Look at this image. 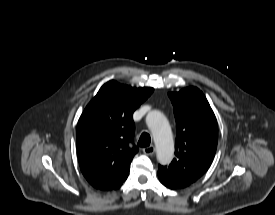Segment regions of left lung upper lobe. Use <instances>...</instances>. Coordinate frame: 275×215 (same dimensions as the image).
I'll return each mask as SVG.
<instances>
[{
  "instance_id": "1",
  "label": "left lung upper lobe",
  "mask_w": 275,
  "mask_h": 215,
  "mask_svg": "<svg viewBox=\"0 0 275 215\" xmlns=\"http://www.w3.org/2000/svg\"><path fill=\"white\" fill-rule=\"evenodd\" d=\"M174 106L177 136L175 155L169 167L158 166L172 179L191 184L211 165L218 141L216 117L196 87L168 93Z\"/></svg>"
}]
</instances>
